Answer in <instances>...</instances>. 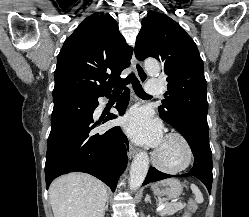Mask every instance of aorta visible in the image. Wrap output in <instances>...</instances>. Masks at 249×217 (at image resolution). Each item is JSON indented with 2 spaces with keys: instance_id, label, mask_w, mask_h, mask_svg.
Masks as SVG:
<instances>
[{
  "instance_id": "obj_1",
  "label": "aorta",
  "mask_w": 249,
  "mask_h": 217,
  "mask_svg": "<svg viewBox=\"0 0 249 217\" xmlns=\"http://www.w3.org/2000/svg\"><path fill=\"white\" fill-rule=\"evenodd\" d=\"M145 69L149 75H156L160 71L159 63L155 59L146 60ZM149 168V157L146 152L138 153L130 169L129 186L131 190H137L143 183Z\"/></svg>"
}]
</instances>
